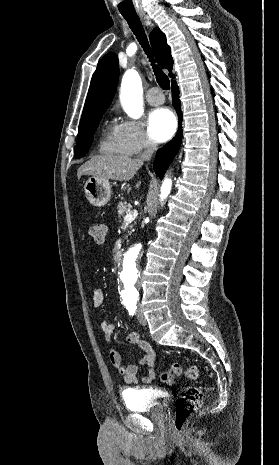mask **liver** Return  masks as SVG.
Segmentation results:
<instances>
[{
  "instance_id": "6515ba94",
  "label": "liver",
  "mask_w": 279,
  "mask_h": 465,
  "mask_svg": "<svg viewBox=\"0 0 279 465\" xmlns=\"http://www.w3.org/2000/svg\"><path fill=\"white\" fill-rule=\"evenodd\" d=\"M143 165L139 159L124 155H97L81 165L77 172L78 179L82 175H91L102 179L129 181ZM141 182L136 184L140 187Z\"/></svg>"
}]
</instances>
